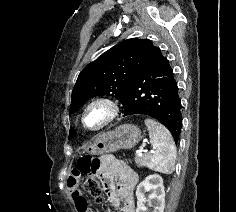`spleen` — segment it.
I'll return each mask as SVG.
<instances>
[{
    "mask_svg": "<svg viewBox=\"0 0 236 212\" xmlns=\"http://www.w3.org/2000/svg\"><path fill=\"white\" fill-rule=\"evenodd\" d=\"M145 125L154 149L147 167L160 173L171 174L176 159V147L171 133L164 125L150 118L145 119Z\"/></svg>",
    "mask_w": 236,
    "mask_h": 212,
    "instance_id": "1",
    "label": "spleen"
}]
</instances>
